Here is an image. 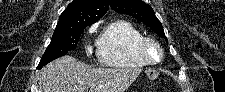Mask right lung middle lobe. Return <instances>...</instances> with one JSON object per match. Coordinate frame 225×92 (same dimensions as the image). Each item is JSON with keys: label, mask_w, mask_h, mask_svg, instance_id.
<instances>
[{"label": "right lung middle lobe", "mask_w": 225, "mask_h": 92, "mask_svg": "<svg viewBox=\"0 0 225 92\" xmlns=\"http://www.w3.org/2000/svg\"><path fill=\"white\" fill-rule=\"evenodd\" d=\"M89 25L91 24H78L72 28H56L37 69H41L47 63L75 49L81 34Z\"/></svg>", "instance_id": "1"}]
</instances>
